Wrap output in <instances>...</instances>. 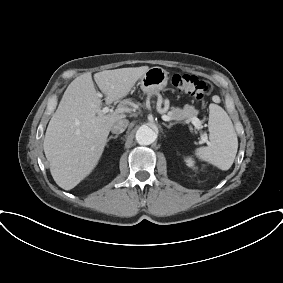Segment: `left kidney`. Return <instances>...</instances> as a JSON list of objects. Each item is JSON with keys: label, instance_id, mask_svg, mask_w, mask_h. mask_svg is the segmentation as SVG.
<instances>
[{"label": "left kidney", "instance_id": "obj_1", "mask_svg": "<svg viewBox=\"0 0 283 283\" xmlns=\"http://www.w3.org/2000/svg\"><path fill=\"white\" fill-rule=\"evenodd\" d=\"M186 163L189 167H193L194 166V161L192 160V158H187L186 159Z\"/></svg>", "mask_w": 283, "mask_h": 283}]
</instances>
